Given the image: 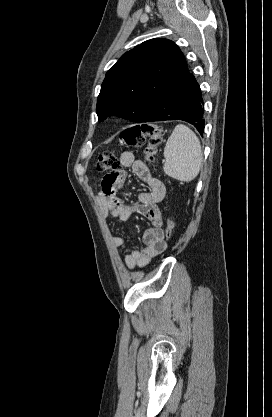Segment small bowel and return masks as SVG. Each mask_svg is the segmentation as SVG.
Wrapping results in <instances>:
<instances>
[{"instance_id": "obj_1", "label": "small bowel", "mask_w": 272, "mask_h": 417, "mask_svg": "<svg viewBox=\"0 0 272 417\" xmlns=\"http://www.w3.org/2000/svg\"><path fill=\"white\" fill-rule=\"evenodd\" d=\"M122 166L131 168L133 173L144 182L148 189L137 194L138 204L129 205L123 202V191L128 174L121 170L115 174H107L101 181L97 201L103 216H112L120 221H127L135 212L143 215L151 224L143 235L144 246L131 249L124 258L128 268L143 267L149 261L165 249L164 231L162 229L163 218L158 203L165 195L166 188L159 179L151 176L147 166L136 159L133 153L123 152L119 156ZM117 248L128 245V241L121 236L112 239Z\"/></svg>"}]
</instances>
